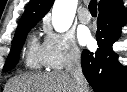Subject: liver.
<instances>
[{
  "label": "liver",
  "mask_w": 127,
  "mask_h": 92,
  "mask_svg": "<svg viewBox=\"0 0 127 92\" xmlns=\"http://www.w3.org/2000/svg\"><path fill=\"white\" fill-rule=\"evenodd\" d=\"M76 83L66 71L21 75L6 84L4 92H77ZM85 92H90L88 85Z\"/></svg>",
  "instance_id": "1"
}]
</instances>
